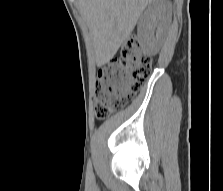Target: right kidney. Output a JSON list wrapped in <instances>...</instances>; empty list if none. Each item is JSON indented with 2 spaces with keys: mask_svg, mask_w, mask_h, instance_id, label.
<instances>
[{
  "mask_svg": "<svg viewBox=\"0 0 223 191\" xmlns=\"http://www.w3.org/2000/svg\"><path fill=\"white\" fill-rule=\"evenodd\" d=\"M168 8V1H154L148 6L139 20V44L150 55L156 54L162 43L168 21Z\"/></svg>",
  "mask_w": 223,
  "mask_h": 191,
  "instance_id": "right-kidney-1",
  "label": "right kidney"
}]
</instances>
